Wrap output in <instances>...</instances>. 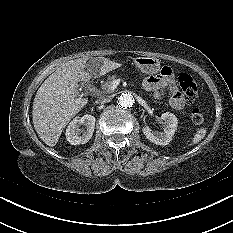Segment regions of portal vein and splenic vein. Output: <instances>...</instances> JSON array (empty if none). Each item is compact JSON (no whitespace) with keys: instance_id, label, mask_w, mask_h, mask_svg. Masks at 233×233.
I'll use <instances>...</instances> for the list:
<instances>
[{"instance_id":"obj_1","label":"portal vein and splenic vein","mask_w":233,"mask_h":233,"mask_svg":"<svg viewBox=\"0 0 233 233\" xmlns=\"http://www.w3.org/2000/svg\"><path fill=\"white\" fill-rule=\"evenodd\" d=\"M118 83H119L118 80H114V81L112 82L111 88L114 90V89L117 87Z\"/></svg>"}]
</instances>
